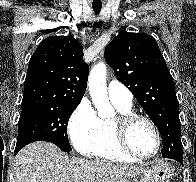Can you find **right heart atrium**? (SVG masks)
<instances>
[{
    "mask_svg": "<svg viewBox=\"0 0 196 182\" xmlns=\"http://www.w3.org/2000/svg\"><path fill=\"white\" fill-rule=\"evenodd\" d=\"M100 130V119L88 101L76 107L68 121V133L76 151L89 154L95 146Z\"/></svg>",
    "mask_w": 196,
    "mask_h": 182,
    "instance_id": "1",
    "label": "right heart atrium"
}]
</instances>
